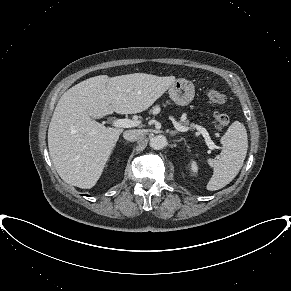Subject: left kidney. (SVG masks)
I'll use <instances>...</instances> for the list:
<instances>
[{
    "mask_svg": "<svg viewBox=\"0 0 291 291\" xmlns=\"http://www.w3.org/2000/svg\"><path fill=\"white\" fill-rule=\"evenodd\" d=\"M191 169H192L193 172L197 173L198 166H197V163L195 161H192V163H191Z\"/></svg>",
    "mask_w": 291,
    "mask_h": 291,
    "instance_id": "obj_1",
    "label": "left kidney"
}]
</instances>
